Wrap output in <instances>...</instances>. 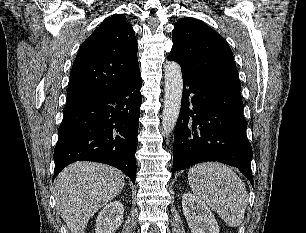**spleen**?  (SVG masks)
<instances>
[{
	"label": "spleen",
	"instance_id": "3e777b00",
	"mask_svg": "<svg viewBox=\"0 0 306 233\" xmlns=\"http://www.w3.org/2000/svg\"><path fill=\"white\" fill-rule=\"evenodd\" d=\"M194 195L232 228L241 225L248 196L244 183L229 167L218 162L193 166L188 175Z\"/></svg>",
	"mask_w": 306,
	"mask_h": 233
}]
</instances>
